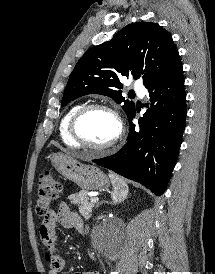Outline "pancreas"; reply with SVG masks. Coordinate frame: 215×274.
<instances>
[{"instance_id": "1", "label": "pancreas", "mask_w": 215, "mask_h": 274, "mask_svg": "<svg viewBox=\"0 0 215 274\" xmlns=\"http://www.w3.org/2000/svg\"><path fill=\"white\" fill-rule=\"evenodd\" d=\"M71 203L79 207V212L86 218H90L94 204L89 202V197L86 191H80L68 196Z\"/></svg>"}]
</instances>
